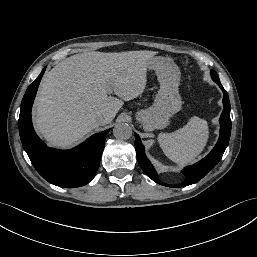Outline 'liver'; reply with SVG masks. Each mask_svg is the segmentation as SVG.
<instances>
[{"mask_svg": "<svg viewBox=\"0 0 257 257\" xmlns=\"http://www.w3.org/2000/svg\"><path fill=\"white\" fill-rule=\"evenodd\" d=\"M154 55L93 51L66 58L42 78L35 101L36 128L50 145L67 147L98 127L99 115L109 114L110 123L122 100L144 92L147 64ZM112 92L121 99L108 95Z\"/></svg>", "mask_w": 257, "mask_h": 257, "instance_id": "liver-1", "label": "liver"}]
</instances>
